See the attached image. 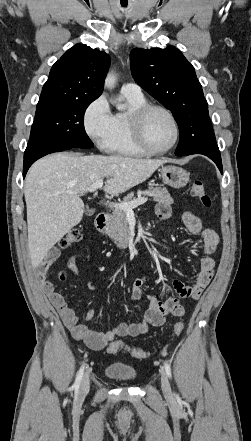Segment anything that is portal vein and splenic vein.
Listing matches in <instances>:
<instances>
[{
	"label": "portal vein and splenic vein",
	"mask_w": 251,
	"mask_h": 441,
	"mask_svg": "<svg viewBox=\"0 0 251 441\" xmlns=\"http://www.w3.org/2000/svg\"><path fill=\"white\" fill-rule=\"evenodd\" d=\"M102 186H103V180H98L88 188V192L95 193ZM147 200L148 199L146 197H139L130 202H121V203L106 202V204H108V206L113 207L115 209H122L126 212H131L137 206L147 202Z\"/></svg>",
	"instance_id": "obj_1"
}]
</instances>
